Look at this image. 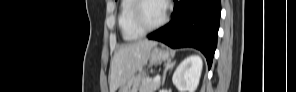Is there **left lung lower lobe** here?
<instances>
[{
    "instance_id": "obj_1",
    "label": "left lung lower lobe",
    "mask_w": 296,
    "mask_h": 92,
    "mask_svg": "<svg viewBox=\"0 0 296 92\" xmlns=\"http://www.w3.org/2000/svg\"><path fill=\"white\" fill-rule=\"evenodd\" d=\"M220 12V0H174L172 20L148 38L172 48H196L205 55L210 68L217 45Z\"/></svg>"
}]
</instances>
